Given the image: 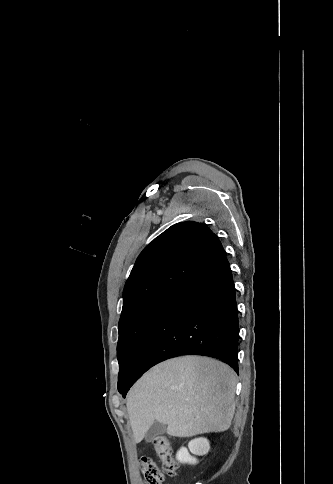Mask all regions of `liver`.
I'll return each mask as SVG.
<instances>
[{
    "mask_svg": "<svg viewBox=\"0 0 333 484\" xmlns=\"http://www.w3.org/2000/svg\"><path fill=\"white\" fill-rule=\"evenodd\" d=\"M235 385L233 369L207 357L184 356L154 366L128 394L135 442L156 421L176 437L226 431L235 412Z\"/></svg>",
    "mask_w": 333,
    "mask_h": 484,
    "instance_id": "liver-1",
    "label": "liver"
}]
</instances>
